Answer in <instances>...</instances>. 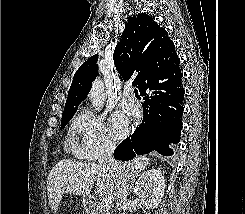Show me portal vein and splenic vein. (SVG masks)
Masks as SVG:
<instances>
[{"instance_id":"1","label":"portal vein and splenic vein","mask_w":245,"mask_h":214,"mask_svg":"<svg viewBox=\"0 0 245 214\" xmlns=\"http://www.w3.org/2000/svg\"><path fill=\"white\" fill-rule=\"evenodd\" d=\"M112 204V198L111 197H103L101 205L104 207H110Z\"/></svg>"}]
</instances>
